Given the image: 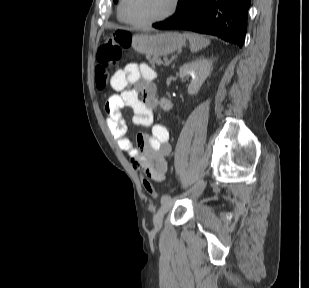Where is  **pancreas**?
<instances>
[{
	"instance_id": "cf45deb5",
	"label": "pancreas",
	"mask_w": 309,
	"mask_h": 288,
	"mask_svg": "<svg viewBox=\"0 0 309 288\" xmlns=\"http://www.w3.org/2000/svg\"><path fill=\"white\" fill-rule=\"evenodd\" d=\"M148 61L152 67H155V65H161L163 63L161 58L159 57H152V58L149 57Z\"/></svg>"
}]
</instances>
